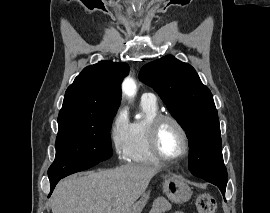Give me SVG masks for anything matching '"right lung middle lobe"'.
<instances>
[{"label": "right lung middle lobe", "mask_w": 270, "mask_h": 213, "mask_svg": "<svg viewBox=\"0 0 270 213\" xmlns=\"http://www.w3.org/2000/svg\"><path fill=\"white\" fill-rule=\"evenodd\" d=\"M115 113L58 116L56 157L48 176L94 166L112 156L110 128Z\"/></svg>", "instance_id": "right-lung-middle-lobe-1"}]
</instances>
